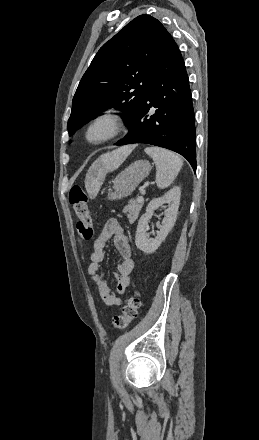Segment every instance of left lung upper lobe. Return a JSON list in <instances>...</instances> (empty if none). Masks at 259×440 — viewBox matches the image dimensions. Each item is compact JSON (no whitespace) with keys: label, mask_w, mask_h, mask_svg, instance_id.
<instances>
[{"label":"left lung upper lobe","mask_w":259,"mask_h":440,"mask_svg":"<svg viewBox=\"0 0 259 440\" xmlns=\"http://www.w3.org/2000/svg\"><path fill=\"white\" fill-rule=\"evenodd\" d=\"M169 35L157 19L140 15L100 48L74 95L69 136L107 108L124 111L128 127L133 123Z\"/></svg>","instance_id":"left-lung-upper-lobe-1"}]
</instances>
